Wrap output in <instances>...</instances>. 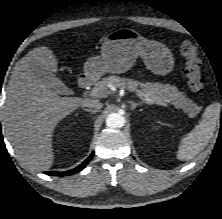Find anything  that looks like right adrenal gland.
Segmentation results:
<instances>
[{"label":"right adrenal gland","mask_w":222,"mask_h":219,"mask_svg":"<svg viewBox=\"0 0 222 219\" xmlns=\"http://www.w3.org/2000/svg\"><path fill=\"white\" fill-rule=\"evenodd\" d=\"M84 111H87L91 114H95L97 112L96 110H91V109H84Z\"/></svg>","instance_id":"obj_1"}]
</instances>
